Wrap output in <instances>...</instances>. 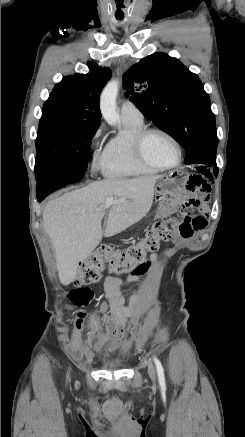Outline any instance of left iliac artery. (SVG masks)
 Listing matches in <instances>:
<instances>
[{
    "label": "left iliac artery",
    "instance_id": "1",
    "mask_svg": "<svg viewBox=\"0 0 245 437\" xmlns=\"http://www.w3.org/2000/svg\"><path fill=\"white\" fill-rule=\"evenodd\" d=\"M154 363H155V366H156V369H157L159 384H160L162 389H165L166 388V382H165L164 369L162 367V364H161V362L159 361V359L157 357H154Z\"/></svg>",
    "mask_w": 245,
    "mask_h": 437
}]
</instances>
